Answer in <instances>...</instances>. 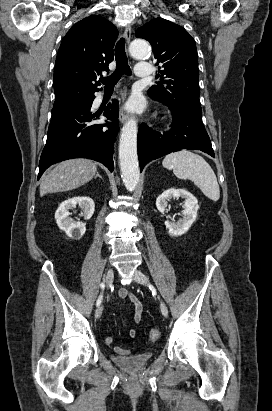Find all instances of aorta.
I'll use <instances>...</instances> for the list:
<instances>
[{
  "mask_svg": "<svg viewBox=\"0 0 272 411\" xmlns=\"http://www.w3.org/2000/svg\"><path fill=\"white\" fill-rule=\"evenodd\" d=\"M130 53L135 58L146 57L150 53L147 41L136 39L131 42ZM137 122L129 119L122 128L119 143V164L121 177L126 189L134 191L139 182L140 172L137 155Z\"/></svg>",
  "mask_w": 272,
  "mask_h": 411,
  "instance_id": "1",
  "label": "aorta"
}]
</instances>
